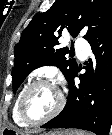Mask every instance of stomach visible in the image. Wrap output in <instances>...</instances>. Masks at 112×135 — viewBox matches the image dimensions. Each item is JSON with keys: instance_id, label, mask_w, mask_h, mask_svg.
I'll return each instance as SVG.
<instances>
[{"instance_id": "obj_1", "label": "stomach", "mask_w": 112, "mask_h": 135, "mask_svg": "<svg viewBox=\"0 0 112 135\" xmlns=\"http://www.w3.org/2000/svg\"><path fill=\"white\" fill-rule=\"evenodd\" d=\"M0 135H20L19 132L12 128H4L0 131ZM43 135H76L73 131H54L49 133H44Z\"/></svg>"}]
</instances>
